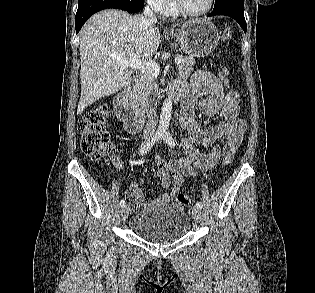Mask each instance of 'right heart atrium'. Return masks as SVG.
<instances>
[{
    "label": "right heart atrium",
    "instance_id": "d8ad5b80",
    "mask_svg": "<svg viewBox=\"0 0 315 293\" xmlns=\"http://www.w3.org/2000/svg\"><path fill=\"white\" fill-rule=\"evenodd\" d=\"M146 2L154 11L161 12L167 0H146Z\"/></svg>",
    "mask_w": 315,
    "mask_h": 293
}]
</instances>
